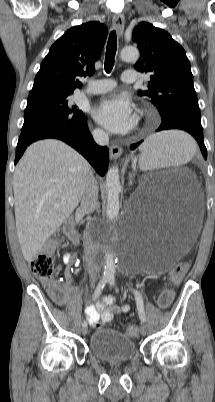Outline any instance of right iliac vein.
<instances>
[{"label":"right iliac vein","instance_id":"63e3f726","mask_svg":"<svg viewBox=\"0 0 215 402\" xmlns=\"http://www.w3.org/2000/svg\"><path fill=\"white\" fill-rule=\"evenodd\" d=\"M81 331H82V334H83V335H86V334L88 333V328H87V326H83Z\"/></svg>","mask_w":215,"mask_h":402}]
</instances>
